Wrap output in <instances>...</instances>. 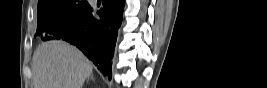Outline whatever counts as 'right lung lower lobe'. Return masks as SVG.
<instances>
[{
  "instance_id": "right-lung-lower-lobe-1",
  "label": "right lung lower lobe",
  "mask_w": 267,
  "mask_h": 88,
  "mask_svg": "<svg viewBox=\"0 0 267 88\" xmlns=\"http://www.w3.org/2000/svg\"><path fill=\"white\" fill-rule=\"evenodd\" d=\"M94 17L91 5L74 21L60 25L53 36L76 45L97 68L111 79V60L118 29L122 23L125 0H103Z\"/></svg>"
}]
</instances>
